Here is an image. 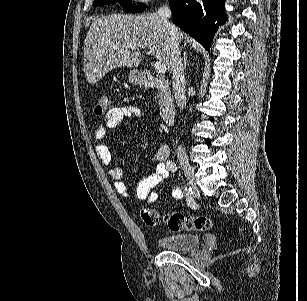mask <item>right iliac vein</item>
<instances>
[{"label":"right iliac vein","mask_w":307,"mask_h":301,"mask_svg":"<svg viewBox=\"0 0 307 301\" xmlns=\"http://www.w3.org/2000/svg\"><path fill=\"white\" fill-rule=\"evenodd\" d=\"M179 162L183 168V171H184V175L187 177L188 179V183L191 185V187L193 188V190L195 192H198L197 191V188L194 184V177H193V170L189 164V162L186 160V158L184 156H180L179 157Z\"/></svg>","instance_id":"obj_1"}]
</instances>
